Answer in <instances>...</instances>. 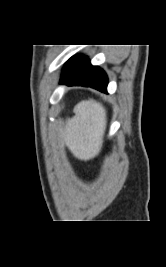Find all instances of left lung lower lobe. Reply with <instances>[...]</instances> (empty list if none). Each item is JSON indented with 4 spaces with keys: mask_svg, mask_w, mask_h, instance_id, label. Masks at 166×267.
Listing matches in <instances>:
<instances>
[{
    "mask_svg": "<svg viewBox=\"0 0 166 267\" xmlns=\"http://www.w3.org/2000/svg\"><path fill=\"white\" fill-rule=\"evenodd\" d=\"M60 84L81 85L107 93V76L102 69L92 66L87 57L77 55L64 66Z\"/></svg>",
    "mask_w": 166,
    "mask_h": 267,
    "instance_id": "1",
    "label": "left lung lower lobe"
}]
</instances>
